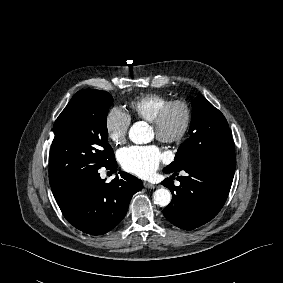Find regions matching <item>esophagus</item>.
<instances>
[{
    "label": "esophagus",
    "instance_id": "obj_1",
    "mask_svg": "<svg viewBox=\"0 0 283 283\" xmlns=\"http://www.w3.org/2000/svg\"><path fill=\"white\" fill-rule=\"evenodd\" d=\"M143 185H144L145 188H148V189H154L156 187L155 184H152V183H149V182H146V181L143 183Z\"/></svg>",
    "mask_w": 283,
    "mask_h": 283
}]
</instances>
